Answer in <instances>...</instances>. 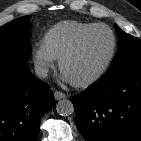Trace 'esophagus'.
I'll list each match as a JSON object with an SVG mask.
<instances>
[{
  "label": "esophagus",
  "mask_w": 141,
  "mask_h": 141,
  "mask_svg": "<svg viewBox=\"0 0 141 141\" xmlns=\"http://www.w3.org/2000/svg\"><path fill=\"white\" fill-rule=\"evenodd\" d=\"M54 97H55L56 100H61V99L65 98L66 95H65V93H63L61 91H55Z\"/></svg>",
  "instance_id": "obj_1"
}]
</instances>
